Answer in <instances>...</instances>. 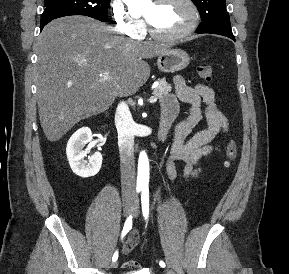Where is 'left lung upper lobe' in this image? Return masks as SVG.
I'll use <instances>...</instances> for the list:
<instances>
[{"label": "left lung upper lobe", "instance_id": "5c2ea615", "mask_svg": "<svg viewBox=\"0 0 289 274\" xmlns=\"http://www.w3.org/2000/svg\"><path fill=\"white\" fill-rule=\"evenodd\" d=\"M197 6L202 23L197 33L233 34L225 0H192Z\"/></svg>", "mask_w": 289, "mask_h": 274}]
</instances>
